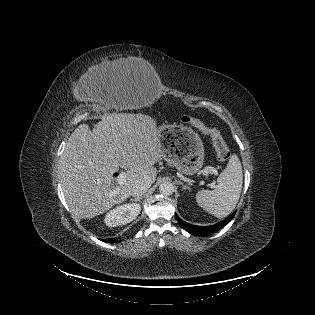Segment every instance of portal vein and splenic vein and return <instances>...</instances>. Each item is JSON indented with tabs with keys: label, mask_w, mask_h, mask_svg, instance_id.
Returning <instances> with one entry per match:
<instances>
[{
	"label": "portal vein and splenic vein",
	"mask_w": 315,
	"mask_h": 315,
	"mask_svg": "<svg viewBox=\"0 0 315 315\" xmlns=\"http://www.w3.org/2000/svg\"><path fill=\"white\" fill-rule=\"evenodd\" d=\"M208 170H211V171L215 172V169L212 168V167H209ZM205 173L207 174L208 171H205ZM126 177H127V174H126L125 172H121V173L119 174L118 178H117L118 183H119L120 185H122V184L124 183V181L126 180ZM209 186H210L211 188H214V187H215V184H214V183H210ZM118 193H119V188H118V187H116L115 189H113V190L111 191V195H112V196H115V195H117Z\"/></svg>",
	"instance_id": "18ae733b"
}]
</instances>
